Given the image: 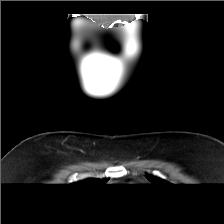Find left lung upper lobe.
<instances>
[{
  "label": "left lung upper lobe",
  "instance_id": "1",
  "mask_svg": "<svg viewBox=\"0 0 224 224\" xmlns=\"http://www.w3.org/2000/svg\"><path fill=\"white\" fill-rule=\"evenodd\" d=\"M146 177L149 181H151L153 184H161V183H167L166 181L156 177V176H153V175H150V174H146Z\"/></svg>",
  "mask_w": 224,
  "mask_h": 224
}]
</instances>
